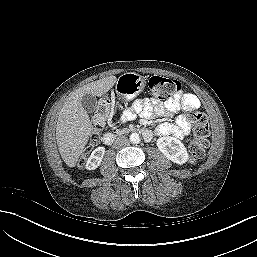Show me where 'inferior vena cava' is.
I'll return each mask as SVG.
<instances>
[{"mask_svg": "<svg viewBox=\"0 0 257 257\" xmlns=\"http://www.w3.org/2000/svg\"><path fill=\"white\" fill-rule=\"evenodd\" d=\"M129 143L128 138L125 136H119L115 139L114 141V147L115 148H120L124 147Z\"/></svg>", "mask_w": 257, "mask_h": 257, "instance_id": "1", "label": "inferior vena cava"}]
</instances>
